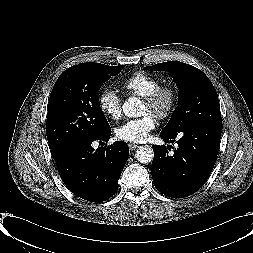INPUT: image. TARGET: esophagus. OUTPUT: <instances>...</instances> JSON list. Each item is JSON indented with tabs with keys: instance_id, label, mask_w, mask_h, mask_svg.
I'll use <instances>...</instances> for the list:
<instances>
[{
	"instance_id": "obj_1",
	"label": "esophagus",
	"mask_w": 253,
	"mask_h": 253,
	"mask_svg": "<svg viewBox=\"0 0 253 253\" xmlns=\"http://www.w3.org/2000/svg\"><path fill=\"white\" fill-rule=\"evenodd\" d=\"M128 146L131 151H134L139 147L138 144H134V143H129Z\"/></svg>"
}]
</instances>
